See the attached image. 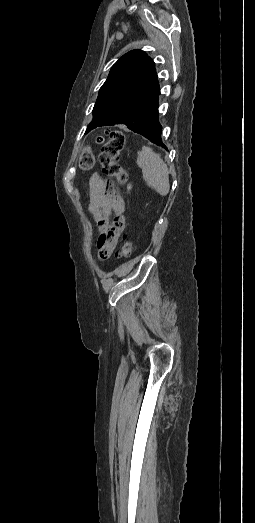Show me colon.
Listing matches in <instances>:
<instances>
[{"instance_id": "5ec220e1", "label": "colon", "mask_w": 255, "mask_h": 523, "mask_svg": "<svg viewBox=\"0 0 255 523\" xmlns=\"http://www.w3.org/2000/svg\"><path fill=\"white\" fill-rule=\"evenodd\" d=\"M101 140L102 138H97V141ZM124 144V134L119 130L111 131L108 141L103 145L99 154V162L106 175L115 178L120 185L128 187V173L124 170L119 160ZM94 165L95 157L90 146L86 145L81 151L79 167L82 170L87 171L91 170ZM134 251L135 244L131 239L125 236L118 256L121 258H128L134 253Z\"/></svg>"}]
</instances>
